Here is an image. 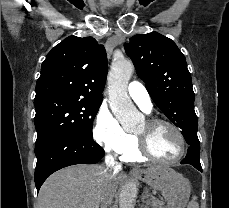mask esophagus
<instances>
[{"mask_svg":"<svg viewBox=\"0 0 229 208\" xmlns=\"http://www.w3.org/2000/svg\"><path fill=\"white\" fill-rule=\"evenodd\" d=\"M133 170H137V168H133Z\"/></svg>","mask_w":229,"mask_h":208,"instance_id":"obj_1","label":"esophagus"}]
</instances>
